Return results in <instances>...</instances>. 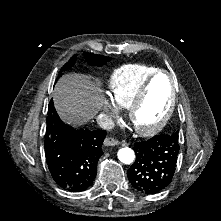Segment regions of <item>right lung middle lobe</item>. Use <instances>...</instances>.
Instances as JSON below:
<instances>
[{
	"label": "right lung middle lobe",
	"mask_w": 221,
	"mask_h": 221,
	"mask_svg": "<svg viewBox=\"0 0 221 221\" xmlns=\"http://www.w3.org/2000/svg\"><path fill=\"white\" fill-rule=\"evenodd\" d=\"M84 57L86 59V61H88L89 65L91 66H97V67H100L102 65L105 64V62L109 61L111 59V57H105V56H102V55H96V54H93V53H85L84 54ZM75 61H76V56H73L69 61L68 63H66L61 71H60V75H62V72L66 71L67 69H69L70 67H72L74 64H75ZM59 77V76H58Z\"/></svg>",
	"instance_id": "right-lung-middle-lobe-1"
}]
</instances>
